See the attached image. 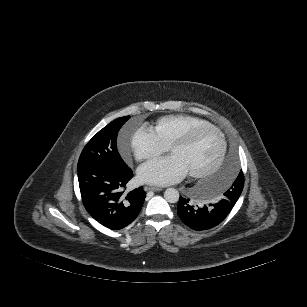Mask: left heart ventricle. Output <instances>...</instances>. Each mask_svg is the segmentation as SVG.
<instances>
[{
    "label": "left heart ventricle",
    "instance_id": "left-heart-ventricle-1",
    "mask_svg": "<svg viewBox=\"0 0 307 307\" xmlns=\"http://www.w3.org/2000/svg\"><path fill=\"white\" fill-rule=\"evenodd\" d=\"M220 148L219 135L213 130H206L189 145L176 147L170 153L182 162L189 173L211 168L217 160Z\"/></svg>",
    "mask_w": 307,
    "mask_h": 307
}]
</instances>
